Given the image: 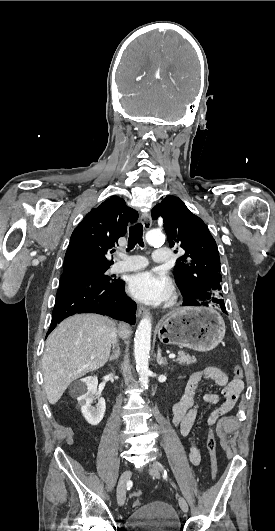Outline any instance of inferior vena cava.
Masks as SVG:
<instances>
[{"label":"inferior vena cava","mask_w":275,"mask_h":531,"mask_svg":"<svg viewBox=\"0 0 275 531\" xmlns=\"http://www.w3.org/2000/svg\"><path fill=\"white\" fill-rule=\"evenodd\" d=\"M112 345H113V349H115V347H118V337H117V331L116 329H113L112 331Z\"/></svg>","instance_id":"1"}]
</instances>
